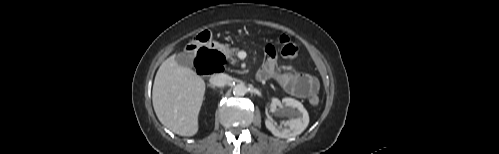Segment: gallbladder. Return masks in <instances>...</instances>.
<instances>
[{
	"instance_id": "gallbladder-1",
	"label": "gallbladder",
	"mask_w": 499,
	"mask_h": 154,
	"mask_svg": "<svg viewBox=\"0 0 499 154\" xmlns=\"http://www.w3.org/2000/svg\"><path fill=\"white\" fill-rule=\"evenodd\" d=\"M176 62L184 67H192L193 55L190 53H178L175 57Z\"/></svg>"
}]
</instances>
